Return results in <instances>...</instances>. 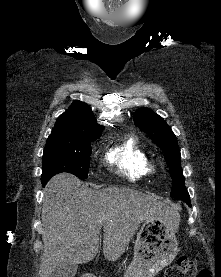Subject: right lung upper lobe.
Segmentation results:
<instances>
[{"label":"right lung upper lobe","mask_w":221,"mask_h":277,"mask_svg":"<svg viewBox=\"0 0 221 277\" xmlns=\"http://www.w3.org/2000/svg\"><path fill=\"white\" fill-rule=\"evenodd\" d=\"M103 126L96 123L92 110L81 101H74L66 112L57 118L51 134L90 135L101 133Z\"/></svg>","instance_id":"cb5924a9"}]
</instances>
